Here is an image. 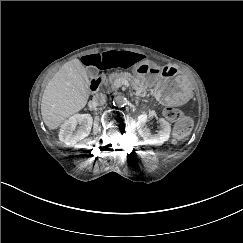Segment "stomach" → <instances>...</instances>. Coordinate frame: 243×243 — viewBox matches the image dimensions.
<instances>
[{
    "label": "stomach",
    "mask_w": 243,
    "mask_h": 243,
    "mask_svg": "<svg viewBox=\"0 0 243 243\" xmlns=\"http://www.w3.org/2000/svg\"><path fill=\"white\" fill-rule=\"evenodd\" d=\"M135 75L147 88H153L156 99L165 105H183L192 96L189 80L172 66L158 67L146 61L136 67Z\"/></svg>",
    "instance_id": "0dacf381"
}]
</instances>
